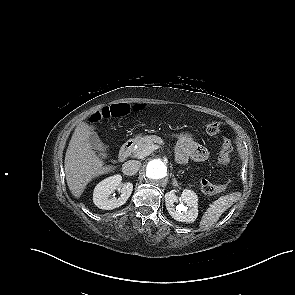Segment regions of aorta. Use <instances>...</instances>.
<instances>
[{
  "mask_svg": "<svg viewBox=\"0 0 295 295\" xmlns=\"http://www.w3.org/2000/svg\"><path fill=\"white\" fill-rule=\"evenodd\" d=\"M168 167L161 159H153L146 166V178L150 182H160L167 177Z\"/></svg>",
  "mask_w": 295,
  "mask_h": 295,
  "instance_id": "1",
  "label": "aorta"
}]
</instances>
